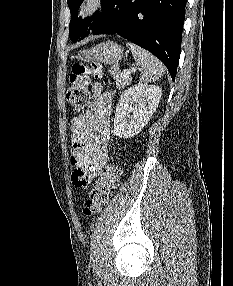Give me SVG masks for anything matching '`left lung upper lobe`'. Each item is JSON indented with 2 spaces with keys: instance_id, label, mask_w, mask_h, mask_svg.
Wrapping results in <instances>:
<instances>
[{
  "instance_id": "left-lung-upper-lobe-1",
  "label": "left lung upper lobe",
  "mask_w": 233,
  "mask_h": 286,
  "mask_svg": "<svg viewBox=\"0 0 233 286\" xmlns=\"http://www.w3.org/2000/svg\"><path fill=\"white\" fill-rule=\"evenodd\" d=\"M106 0H101V4L105 3ZM83 0H67L70 12H71V21L69 24V36L72 42L77 41L88 29L90 26L93 17L85 18L84 20L78 19V9Z\"/></svg>"
}]
</instances>
